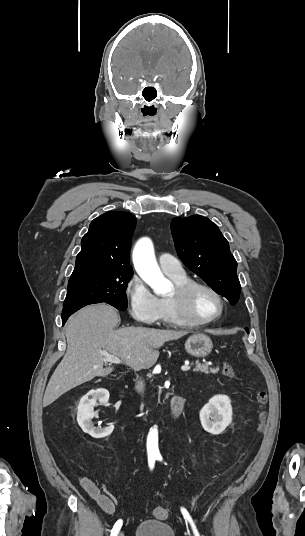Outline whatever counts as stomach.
Segmentation results:
<instances>
[{
	"instance_id": "stomach-1",
	"label": "stomach",
	"mask_w": 305,
	"mask_h": 536,
	"mask_svg": "<svg viewBox=\"0 0 305 536\" xmlns=\"http://www.w3.org/2000/svg\"><path fill=\"white\" fill-rule=\"evenodd\" d=\"M212 342L205 334H194L185 342V350L190 356L195 358H205L212 352Z\"/></svg>"
}]
</instances>
